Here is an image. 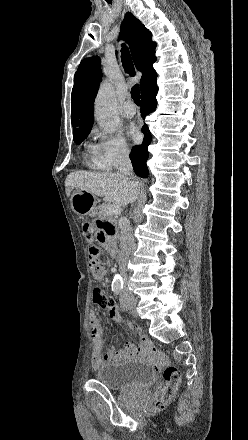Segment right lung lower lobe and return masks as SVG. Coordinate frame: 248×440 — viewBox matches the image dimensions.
Here are the masks:
<instances>
[{
    "label": "right lung lower lobe",
    "mask_w": 248,
    "mask_h": 440,
    "mask_svg": "<svg viewBox=\"0 0 248 440\" xmlns=\"http://www.w3.org/2000/svg\"><path fill=\"white\" fill-rule=\"evenodd\" d=\"M158 91V87L156 84L149 86L144 92L141 94V116L145 118L146 115L153 112L156 109L157 101L156 94ZM142 132L144 133V141L141 145L134 146L130 159L133 165V169L135 173L143 178L148 176V168L146 165L148 159V146L151 143L152 136L149 131L148 126L145 124L142 128Z\"/></svg>",
    "instance_id": "right-lung-lower-lobe-1"
}]
</instances>
